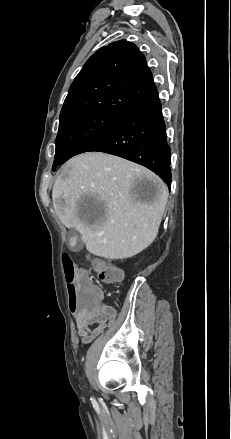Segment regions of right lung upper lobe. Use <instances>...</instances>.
<instances>
[{"label": "right lung upper lobe", "mask_w": 231, "mask_h": 439, "mask_svg": "<svg viewBox=\"0 0 231 439\" xmlns=\"http://www.w3.org/2000/svg\"><path fill=\"white\" fill-rule=\"evenodd\" d=\"M158 96L144 55L126 40L93 54L70 86L60 118L87 111L125 116Z\"/></svg>", "instance_id": "1"}]
</instances>
